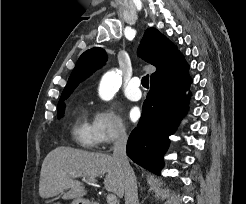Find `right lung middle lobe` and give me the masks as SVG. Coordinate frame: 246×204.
<instances>
[{
	"mask_svg": "<svg viewBox=\"0 0 246 204\" xmlns=\"http://www.w3.org/2000/svg\"><path fill=\"white\" fill-rule=\"evenodd\" d=\"M68 97H63V98H60L59 100V103H58V107H57V116H58V119L59 118H62L63 115H64V100L67 99Z\"/></svg>",
	"mask_w": 246,
	"mask_h": 204,
	"instance_id": "1",
	"label": "right lung middle lobe"
}]
</instances>
